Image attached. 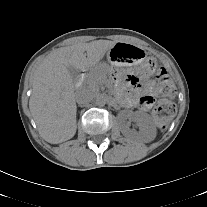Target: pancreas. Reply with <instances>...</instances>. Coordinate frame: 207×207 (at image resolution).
Wrapping results in <instances>:
<instances>
[{
	"label": "pancreas",
	"mask_w": 207,
	"mask_h": 207,
	"mask_svg": "<svg viewBox=\"0 0 207 207\" xmlns=\"http://www.w3.org/2000/svg\"><path fill=\"white\" fill-rule=\"evenodd\" d=\"M107 64H103L97 67L89 76L86 82L87 88L96 91L99 88V85L106 80V69Z\"/></svg>",
	"instance_id": "1"
}]
</instances>
